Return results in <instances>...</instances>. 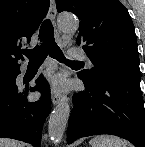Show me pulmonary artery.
Instances as JSON below:
<instances>
[{"label":"pulmonary artery","mask_w":145,"mask_h":147,"mask_svg":"<svg viewBox=\"0 0 145 147\" xmlns=\"http://www.w3.org/2000/svg\"><path fill=\"white\" fill-rule=\"evenodd\" d=\"M68 54H69V57L72 59H82V60H85L90 66H93L92 61L88 58L86 53L82 50L70 49Z\"/></svg>","instance_id":"pulmonary-artery-1"}]
</instances>
